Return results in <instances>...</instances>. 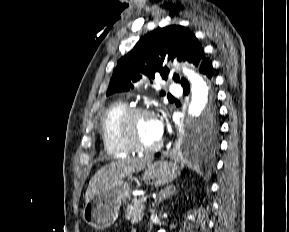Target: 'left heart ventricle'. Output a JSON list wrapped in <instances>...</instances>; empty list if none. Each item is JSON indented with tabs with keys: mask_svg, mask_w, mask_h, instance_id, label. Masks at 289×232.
Returning a JSON list of instances; mask_svg holds the SVG:
<instances>
[{
	"mask_svg": "<svg viewBox=\"0 0 289 232\" xmlns=\"http://www.w3.org/2000/svg\"><path fill=\"white\" fill-rule=\"evenodd\" d=\"M134 135L137 141L145 147H151L158 143L155 130V118L147 115L139 116L133 124Z\"/></svg>",
	"mask_w": 289,
	"mask_h": 232,
	"instance_id": "obj_1",
	"label": "left heart ventricle"
}]
</instances>
